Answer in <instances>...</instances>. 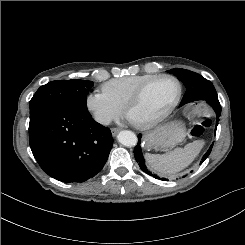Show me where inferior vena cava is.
<instances>
[{
    "instance_id": "602c4592",
    "label": "inferior vena cava",
    "mask_w": 245,
    "mask_h": 245,
    "mask_svg": "<svg viewBox=\"0 0 245 245\" xmlns=\"http://www.w3.org/2000/svg\"><path fill=\"white\" fill-rule=\"evenodd\" d=\"M99 122H100L101 124H103V125H109L110 122H111V119L108 118V117H105V118L100 119Z\"/></svg>"
}]
</instances>
